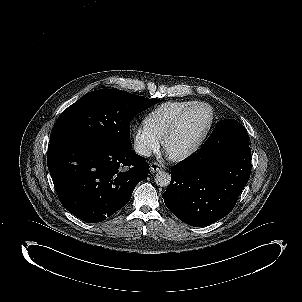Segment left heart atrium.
I'll return each instance as SVG.
<instances>
[{"label":"left heart atrium","instance_id":"left-heart-atrium-1","mask_svg":"<svg viewBox=\"0 0 302 302\" xmlns=\"http://www.w3.org/2000/svg\"><path fill=\"white\" fill-rule=\"evenodd\" d=\"M165 155L170 159H175V153L171 149H166Z\"/></svg>","mask_w":302,"mask_h":302}]
</instances>
